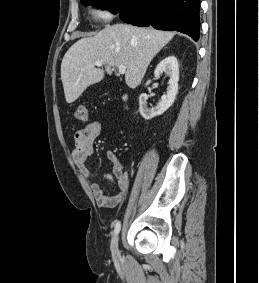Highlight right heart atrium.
I'll use <instances>...</instances> for the list:
<instances>
[{
    "label": "right heart atrium",
    "instance_id": "obj_1",
    "mask_svg": "<svg viewBox=\"0 0 259 283\" xmlns=\"http://www.w3.org/2000/svg\"><path fill=\"white\" fill-rule=\"evenodd\" d=\"M95 16L96 18L103 22L107 23L113 19L115 15V10L112 6L109 5H100L95 9Z\"/></svg>",
    "mask_w": 259,
    "mask_h": 283
}]
</instances>
